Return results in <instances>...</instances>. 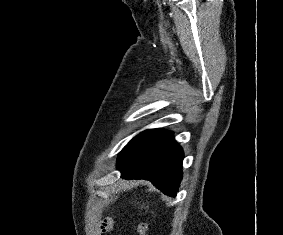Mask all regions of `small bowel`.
<instances>
[{
  "instance_id": "c3829d8e",
  "label": "small bowel",
  "mask_w": 283,
  "mask_h": 235,
  "mask_svg": "<svg viewBox=\"0 0 283 235\" xmlns=\"http://www.w3.org/2000/svg\"><path fill=\"white\" fill-rule=\"evenodd\" d=\"M111 227H112V222L110 220H104L101 226L104 232L109 231Z\"/></svg>"
}]
</instances>
